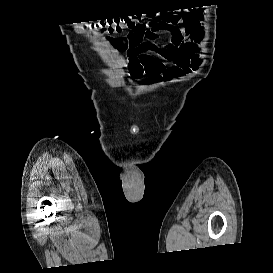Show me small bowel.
I'll list each match as a JSON object with an SVG mask.
<instances>
[{
    "mask_svg": "<svg viewBox=\"0 0 273 273\" xmlns=\"http://www.w3.org/2000/svg\"><path fill=\"white\" fill-rule=\"evenodd\" d=\"M159 22L161 18L147 24ZM161 33L170 36L164 43L158 41ZM204 36L203 16L192 12L169 15L165 23L158 28H151L149 35L137 45L131 44L128 37H107L106 41L117 52L125 53L123 66L127 69V78L130 81H138L147 76L150 83H155L163 78L172 80L195 70L201 62L196 55L197 45ZM160 60L173 65L167 67Z\"/></svg>",
    "mask_w": 273,
    "mask_h": 273,
    "instance_id": "small-bowel-1",
    "label": "small bowel"
}]
</instances>
